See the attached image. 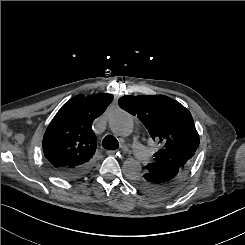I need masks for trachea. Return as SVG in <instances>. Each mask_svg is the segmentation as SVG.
<instances>
[{
    "mask_svg": "<svg viewBox=\"0 0 245 245\" xmlns=\"http://www.w3.org/2000/svg\"><path fill=\"white\" fill-rule=\"evenodd\" d=\"M102 146H103V148H105L107 150H115V149H118L119 143L114 136L107 135L103 139Z\"/></svg>",
    "mask_w": 245,
    "mask_h": 245,
    "instance_id": "3493384b",
    "label": "trachea"
}]
</instances>
